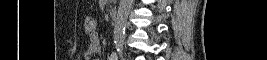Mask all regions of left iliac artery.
I'll return each instance as SVG.
<instances>
[{
  "mask_svg": "<svg viewBox=\"0 0 267 60\" xmlns=\"http://www.w3.org/2000/svg\"><path fill=\"white\" fill-rule=\"evenodd\" d=\"M120 57H121V59H122V60H124V57H123V55H122V54L120 55Z\"/></svg>",
  "mask_w": 267,
  "mask_h": 60,
  "instance_id": "left-iliac-artery-1",
  "label": "left iliac artery"
}]
</instances>
